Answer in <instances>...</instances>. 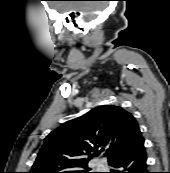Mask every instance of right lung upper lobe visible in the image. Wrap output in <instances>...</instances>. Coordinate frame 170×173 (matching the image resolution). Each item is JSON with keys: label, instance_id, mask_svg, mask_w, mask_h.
<instances>
[{"label": "right lung upper lobe", "instance_id": "cb5924a9", "mask_svg": "<svg viewBox=\"0 0 170 173\" xmlns=\"http://www.w3.org/2000/svg\"><path fill=\"white\" fill-rule=\"evenodd\" d=\"M144 144L131 113L115 105L92 109L52 131L30 173H72L89 169L88 162L100 152L109 164Z\"/></svg>", "mask_w": 170, "mask_h": 173}]
</instances>
